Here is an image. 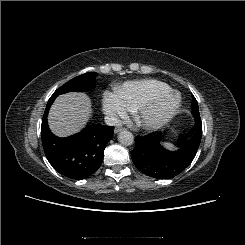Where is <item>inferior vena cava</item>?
<instances>
[{"mask_svg":"<svg viewBox=\"0 0 245 245\" xmlns=\"http://www.w3.org/2000/svg\"><path fill=\"white\" fill-rule=\"evenodd\" d=\"M105 123L108 126H120L121 125V120L119 117L112 115V114H108L105 116Z\"/></svg>","mask_w":245,"mask_h":245,"instance_id":"1","label":"inferior vena cava"}]
</instances>
